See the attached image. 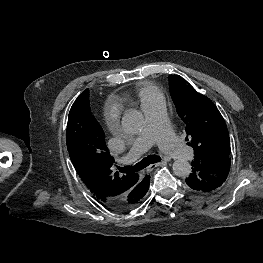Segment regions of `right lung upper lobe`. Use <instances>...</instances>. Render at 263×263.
<instances>
[{"label": "right lung upper lobe", "instance_id": "1", "mask_svg": "<svg viewBox=\"0 0 263 263\" xmlns=\"http://www.w3.org/2000/svg\"><path fill=\"white\" fill-rule=\"evenodd\" d=\"M66 143L72 164L90 192L103 205L120 202L122 211L137 206L148 188L137 173L119 175L111 167L114 158L105 144L104 132L93 117L86 89L72 105L66 131Z\"/></svg>", "mask_w": 263, "mask_h": 263}]
</instances>
